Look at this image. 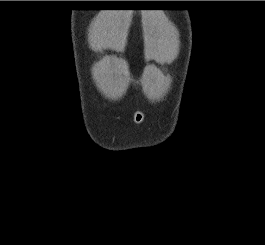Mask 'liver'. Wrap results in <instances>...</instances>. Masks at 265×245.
<instances>
[{
    "label": "liver",
    "instance_id": "1",
    "mask_svg": "<svg viewBox=\"0 0 265 245\" xmlns=\"http://www.w3.org/2000/svg\"><path fill=\"white\" fill-rule=\"evenodd\" d=\"M113 40L109 34L104 32L102 29H95L91 35V45L96 50H101L111 46Z\"/></svg>",
    "mask_w": 265,
    "mask_h": 245
}]
</instances>
